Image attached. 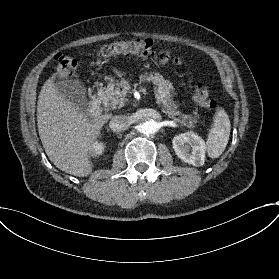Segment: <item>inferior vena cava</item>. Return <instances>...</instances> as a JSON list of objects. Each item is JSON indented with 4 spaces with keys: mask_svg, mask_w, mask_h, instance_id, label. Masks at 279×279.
<instances>
[{
    "mask_svg": "<svg viewBox=\"0 0 279 279\" xmlns=\"http://www.w3.org/2000/svg\"><path fill=\"white\" fill-rule=\"evenodd\" d=\"M130 126V120L125 115H115L109 122V127L114 132L127 130Z\"/></svg>",
    "mask_w": 279,
    "mask_h": 279,
    "instance_id": "inferior-vena-cava-1",
    "label": "inferior vena cava"
}]
</instances>
